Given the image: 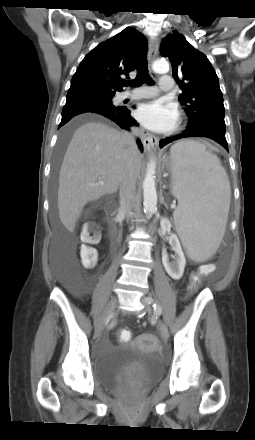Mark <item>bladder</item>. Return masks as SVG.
I'll return each instance as SVG.
<instances>
[{
    "instance_id": "bladder-1",
    "label": "bladder",
    "mask_w": 255,
    "mask_h": 440,
    "mask_svg": "<svg viewBox=\"0 0 255 440\" xmlns=\"http://www.w3.org/2000/svg\"><path fill=\"white\" fill-rule=\"evenodd\" d=\"M145 342L136 339L128 344L114 346L105 355L94 359L96 380L105 387H115L131 374L142 389L158 381L164 370L163 361L156 351L144 348Z\"/></svg>"
}]
</instances>
